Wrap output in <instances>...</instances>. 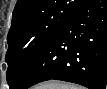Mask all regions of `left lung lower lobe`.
<instances>
[{
	"mask_svg": "<svg viewBox=\"0 0 107 89\" xmlns=\"http://www.w3.org/2000/svg\"><path fill=\"white\" fill-rule=\"evenodd\" d=\"M48 80L105 89L107 84V0H86L59 27L13 89Z\"/></svg>",
	"mask_w": 107,
	"mask_h": 89,
	"instance_id": "obj_1",
	"label": "left lung lower lobe"
}]
</instances>
